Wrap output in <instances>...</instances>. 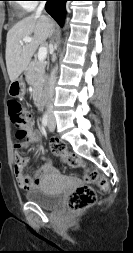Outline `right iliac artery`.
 Segmentation results:
<instances>
[{"label": "right iliac artery", "instance_id": "obj_1", "mask_svg": "<svg viewBox=\"0 0 133 253\" xmlns=\"http://www.w3.org/2000/svg\"><path fill=\"white\" fill-rule=\"evenodd\" d=\"M42 125L46 127L48 125V115L44 114L42 117Z\"/></svg>", "mask_w": 133, "mask_h": 253}]
</instances>
